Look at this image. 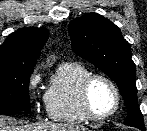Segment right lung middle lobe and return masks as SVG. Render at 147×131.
<instances>
[{"label": "right lung middle lobe", "mask_w": 147, "mask_h": 131, "mask_svg": "<svg viewBox=\"0 0 147 131\" xmlns=\"http://www.w3.org/2000/svg\"><path fill=\"white\" fill-rule=\"evenodd\" d=\"M33 69H0V114L30 112L29 81Z\"/></svg>", "instance_id": "obj_1"}]
</instances>
